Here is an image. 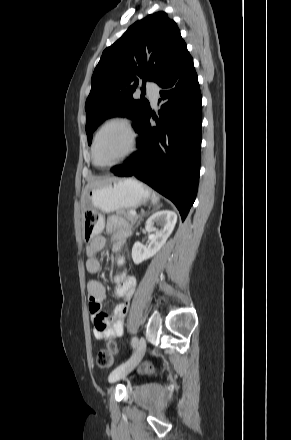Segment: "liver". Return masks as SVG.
Listing matches in <instances>:
<instances>
[{"instance_id": "6515ba94", "label": "liver", "mask_w": 291, "mask_h": 440, "mask_svg": "<svg viewBox=\"0 0 291 440\" xmlns=\"http://www.w3.org/2000/svg\"><path fill=\"white\" fill-rule=\"evenodd\" d=\"M115 179H116V178H104V179H100V180H97V181H94V182L89 183V184L86 186L85 190L83 191V195H82V204H84L85 195H86V193H87V191H88L89 189H91V188H93V187H98V186L104 185V184L109 183V182H111V181H113V180H115Z\"/></svg>"}]
</instances>
